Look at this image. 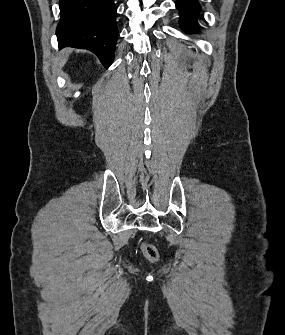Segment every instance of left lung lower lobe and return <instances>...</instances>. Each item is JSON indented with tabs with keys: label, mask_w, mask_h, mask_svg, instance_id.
<instances>
[{
	"label": "left lung lower lobe",
	"mask_w": 285,
	"mask_h": 335,
	"mask_svg": "<svg viewBox=\"0 0 285 335\" xmlns=\"http://www.w3.org/2000/svg\"><path fill=\"white\" fill-rule=\"evenodd\" d=\"M176 7L180 11V25L188 33L198 30L197 14L200 10L198 0H177Z\"/></svg>",
	"instance_id": "0a47b994"
}]
</instances>
